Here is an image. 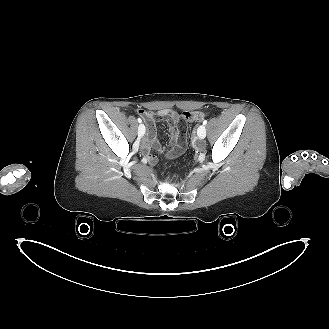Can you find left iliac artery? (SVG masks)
I'll return each mask as SVG.
<instances>
[{
	"label": "left iliac artery",
	"mask_w": 329,
	"mask_h": 329,
	"mask_svg": "<svg viewBox=\"0 0 329 329\" xmlns=\"http://www.w3.org/2000/svg\"><path fill=\"white\" fill-rule=\"evenodd\" d=\"M206 124H207V120H204V121H203V125H206Z\"/></svg>",
	"instance_id": "left-iliac-artery-1"
}]
</instances>
